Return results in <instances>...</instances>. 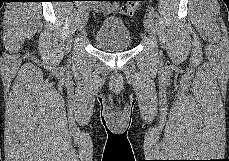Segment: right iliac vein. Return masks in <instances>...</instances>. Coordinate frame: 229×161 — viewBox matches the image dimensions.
<instances>
[{"instance_id": "right-iliac-vein-1", "label": "right iliac vein", "mask_w": 229, "mask_h": 161, "mask_svg": "<svg viewBox=\"0 0 229 161\" xmlns=\"http://www.w3.org/2000/svg\"><path fill=\"white\" fill-rule=\"evenodd\" d=\"M88 16H89L88 7L86 5L80 6L79 13H78V20H79L78 26L80 30H82L85 27L88 21Z\"/></svg>"}]
</instances>
